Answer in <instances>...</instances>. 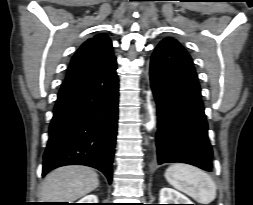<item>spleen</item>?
Here are the masks:
<instances>
[{"label": "spleen", "mask_w": 253, "mask_h": 205, "mask_svg": "<svg viewBox=\"0 0 253 205\" xmlns=\"http://www.w3.org/2000/svg\"><path fill=\"white\" fill-rule=\"evenodd\" d=\"M165 178L173 187L200 204H209L216 198L217 187L213 179L192 165L172 164L167 168Z\"/></svg>", "instance_id": "obj_1"}]
</instances>
